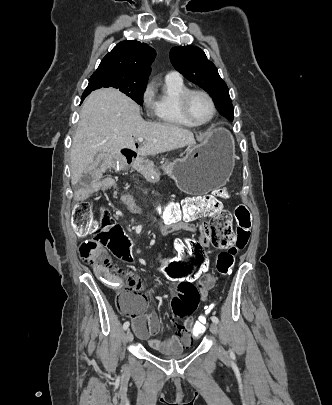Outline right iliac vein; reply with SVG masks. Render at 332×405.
<instances>
[{"label": "right iliac vein", "instance_id": "right-iliac-vein-1", "mask_svg": "<svg viewBox=\"0 0 332 405\" xmlns=\"http://www.w3.org/2000/svg\"><path fill=\"white\" fill-rule=\"evenodd\" d=\"M133 339H134V336H133L131 330L128 329L127 332H126V340H127L128 342H132Z\"/></svg>", "mask_w": 332, "mask_h": 405}]
</instances>
